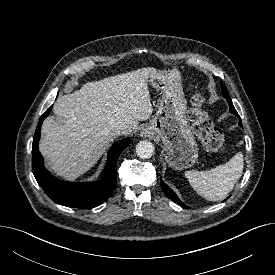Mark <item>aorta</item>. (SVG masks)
<instances>
[{
    "label": "aorta",
    "mask_w": 275,
    "mask_h": 275,
    "mask_svg": "<svg viewBox=\"0 0 275 275\" xmlns=\"http://www.w3.org/2000/svg\"><path fill=\"white\" fill-rule=\"evenodd\" d=\"M154 150V145L148 140L140 141L136 145V154L142 159L151 158L154 154Z\"/></svg>",
    "instance_id": "762f6f07"
}]
</instances>
